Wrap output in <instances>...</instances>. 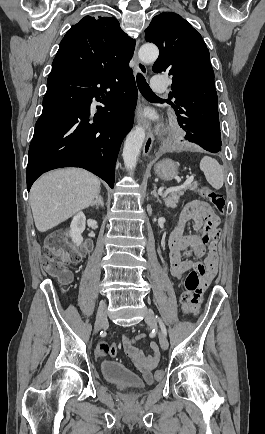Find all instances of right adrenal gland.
Wrapping results in <instances>:
<instances>
[{
	"instance_id": "2a0ac1e0",
	"label": "right adrenal gland",
	"mask_w": 265,
	"mask_h": 434,
	"mask_svg": "<svg viewBox=\"0 0 265 434\" xmlns=\"http://www.w3.org/2000/svg\"><path fill=\"white\" fill-rule=\"evenodd\" d=\"M92 206H95L96 210H98L99 206H101V208H104V200L102 196H96Z\"/></svg>"
}]
</instances>
